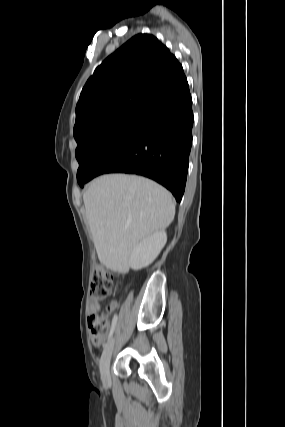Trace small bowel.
<instances>
[{
    "label": "small bowel",
    "instance_id": "obj_1",
    "mask_svg": "<svg viewBox=\"0 0 285 427\" xmlns=\"http://www.w3.org/2000/svg\"><path fill=\"white\" fill-rule=\"evenodd\" d=\"M116 306H117L116 302H113L110 305V309L114 310L116 308ZM98 310H99V303L97 301L90 300L88 302V311H89V313H95Z\"/></svg>",
    "mask_w": 285,
    "mask_h": 427
}]
</instances>
